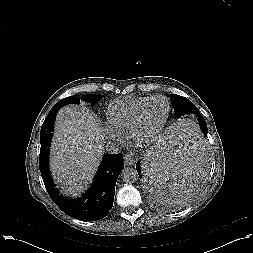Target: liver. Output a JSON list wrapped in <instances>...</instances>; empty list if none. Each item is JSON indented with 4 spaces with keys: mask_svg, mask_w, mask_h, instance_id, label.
Returning <instances> with one entry per match:
<instances>
[{
    "mask_svg": "<svg viewBox=\"0 0 253 253\" xmlns=\"http://www.w3.org/2000/svg\"><path fill=\"white\" fill-rule=\"evenodd\" d=\"M104 137L98 119L84 106L59 110L50 168L64 194L78 196L91 183L101 161Z\"/></svg>",
    "mask_w": 253,
    "mask_h": 253,
    "instance_id": "liver-1",
    "label": "liver"
}]
</instances>
